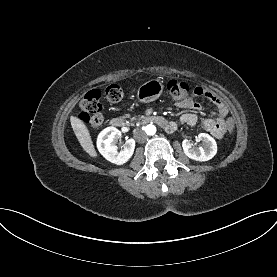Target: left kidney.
Returning a JSON list of instances; mask_svg holds the SVG:
<instances>
[{
	"label": "left kidney",
	"mask_w": 277,
	"mask_h": 277,
	"mask_svg": "<svg viewBox=\"0 0 277 277\" xmlns=\"http://www.w3.org/2000/svg\"><path fill=\"white\" fill-rule=\"evenodd\" d=\"M198 139L203 142V147H194L187 139L183 140L184 153L190 159L204 162L212 159L217 153V144L213 137L206 133H200Z\"/></svg>",
	"instance_id": "1"
}]
</instances>
